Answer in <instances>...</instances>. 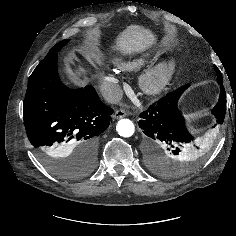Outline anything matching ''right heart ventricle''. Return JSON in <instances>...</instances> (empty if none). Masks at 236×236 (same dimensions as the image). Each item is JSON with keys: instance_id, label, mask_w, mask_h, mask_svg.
Wrapping results in <instances>:
<instances>
[{"instance_id": "right-heart-ventricle-1", "label": "right heart ventricle", "mask_w": 236, "mask_h": 236, "mask_svg": "<svg viewBox=\"0 0 236 236\" xmlns=\"http://www.w3.org/2000/svg\"><path fill=\"white\" fill-rule=\"evenodd\" d=\"M151 58L148 53H140L125 60H118L117 64L124 69L134 70L144 66Z\"/></svg>"}]
</instances>
